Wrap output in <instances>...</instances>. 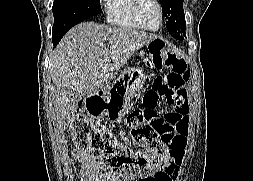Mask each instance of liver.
Returning <instances> with one entry per match:
<instances>
[{
	"label": "liver",
	"instance_id": "1",
	"mask_svg": "<svg viewBox=\"0 0 253 181\" xmlns=\"http://www.w3.org/2000/svg\"><path fill=\"white\" fill-rule=\"evenodd\" d=\"M156 38L151 33L94 22L70 29L50 56L58 127L64 131L82 97L106 87L136 50Z\"/></svg>",
	"mask_w": 253,
	"mask_h": 181
}]
</instances>
